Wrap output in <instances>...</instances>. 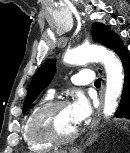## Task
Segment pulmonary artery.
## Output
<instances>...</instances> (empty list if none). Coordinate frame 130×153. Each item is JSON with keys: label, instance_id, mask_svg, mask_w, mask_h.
<instances>
[{"label": "pulmonary artery", "instance_id": "1", "mask_svg": "<svg viewBox=\"0 0 130 153\" xmlns=\"http://www.w3.org/2000/svg\"><path fill=\"white\" fill-rule=\"evenodd\" d=\"M94 80V74L91 70H83L72 77V81L76 85L90 84ZM54 94V90L50 92V95Z\"/></svg>", "mask_w": 130, "mask_h": 153}]
</instances>
